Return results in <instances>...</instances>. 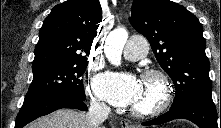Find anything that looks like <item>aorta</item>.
<instances>
[{"instance_id":"1","label":"aorta","mask_w":221,"mask_h":128,"mask_svg":"<svg viewBox=\"0 0 221 128\" xmlns=\"http://www.w3.org/2000/svg\"><path fill=\"white\" fill-rule=\"evenodd\" d=\"M127 39L128 32L124 28H116L107 36L104 52L111 64L116 66L121 64L122 50Z\"/></svg>"}]
</instances>
